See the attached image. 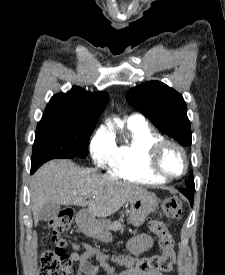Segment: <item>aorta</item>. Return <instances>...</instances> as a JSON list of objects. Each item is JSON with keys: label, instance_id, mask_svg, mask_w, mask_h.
Masks as SVG:
<instances>
[{"label": "aorta", "instance_id": "aorta-1", "mask_svg": "<svg viewBox=\"0 0 225 275\" xmlns=\"http://www.w3.org/2000/svg\"><path fill=\"white\" fill-rule=\"evenodd\" d=\"M107 125L109 126V128H113L112 124L110 123V121L107 122Z\"/></svg>", "mask_w": 225, "mask_h": 275}]
</instances>
